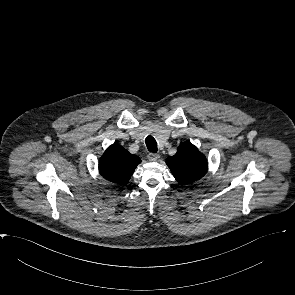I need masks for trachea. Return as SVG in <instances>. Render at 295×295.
<instances>
[{
    "label": "trachea",
    "mask_w": 295,
    "mask_h": 295,
    "mask_svg": "<svg viewBox=\"0 0 295 295\" xmlns=\"http://www.w3.org/2000/svg\"><path fill=\"white\" fill-rule=\"evenodd\" d=\"M145 143L147 145V149L150 151V152H157V142L156 140L154 139V137L152 136H148L146 139H145Z\"/></svg>",
    "instance_id": "trachea-1"
}]
</instances>
